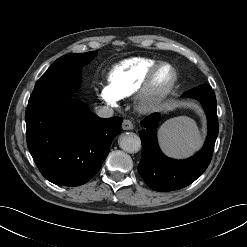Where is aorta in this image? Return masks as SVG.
<instances>
[{
    "instance_id": "obj_1",
    "label": "aorta",
    "mask_w": 247,
    "mask_h": 247,
    "mask_svg": "<svg viewBox=\"0 0 247 247\" xmlns=\"http://www.w3.org/2000/svg\"><path fill=\"white\" fill-rule=\"evenodd\" d=\"M119 147L128 153H136L141 148L140 137L135 133H125L119 137Z\"/></svg>"
}]
</instances>
